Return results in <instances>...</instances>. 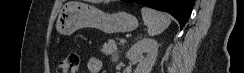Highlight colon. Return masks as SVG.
<instances>
[{
  "instance_id": "obj_1",
  "label": "colon",
  "mask_w": 244,
  "mask_h": 73,
  "mask_svg": "<svg viewBox=\"0 0 244 73\" xmlns=\"http://www.w3.org/2000/svg\"><path fill=\"white\" fill-rule=\"evenodd\" d=\"M79 65L80 56L72 52L58 62L56 71L57 73H77Z\"/></svg>"
}]
</instances>
